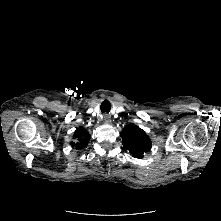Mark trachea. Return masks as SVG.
Wrapping results in <instances>:
<instances>
[{
  "label": "trachea",
  "instance_id": "3493384b",
  "mask_svg": "<svg viewBox=\"0 0 221 221\" xmlns=\"http://www.w3.org/2000/svg\"><path fill=\"white\" fill-rule=\"evenodd\" d=\"M110 109H111L110 102L107 100L103 101L101 104V112L102 113H109Z\"/></svg>",
  "mask_w": 221,
  "mask_h": 221
}]
</instances>
